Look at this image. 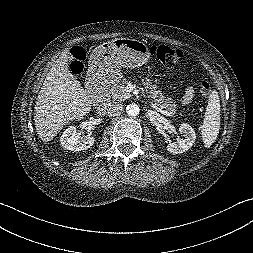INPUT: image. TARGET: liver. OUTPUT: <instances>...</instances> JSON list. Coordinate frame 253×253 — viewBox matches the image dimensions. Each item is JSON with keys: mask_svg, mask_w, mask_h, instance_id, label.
<instances>
[{"mask_svg": "<svg viewBox=\"0 0 253 253\" xmlns=\"http://www.w3.org/2000/svg\"><path fill=\"white\" fill-rule=\"evenodd\" d=\"M69 51H64L46 76L34 108V121L40 139L51 141L70 121L89 113L93 96L70 72Z\"/></svg>", "mask_w": 253, "mask_h": 253, "instance_id": "liver-1", "label": "liver"}]
</instances>
